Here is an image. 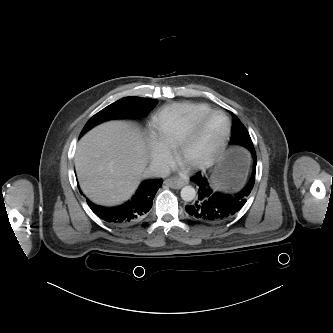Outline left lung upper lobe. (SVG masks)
<instances>
[{"instance_id": "obj_1", "label": "left lung upper lobe", "mask_w": 333, "mask_h": 333, "mask_svg": "<svg viewBox=\"0 0 333 333\" xmlns=\"http://www.w3.org/2000/svg\"><path fill=\"white\" fill-rule=\"evenodd\" d=\"M232 116H233V127H232V137L230 143L233 146H243L247 148L250 151V153L254 152L255 149L247 129L241 123V121L238 119L236 115L232 113Z\"/></svg>"}]
</instances>
